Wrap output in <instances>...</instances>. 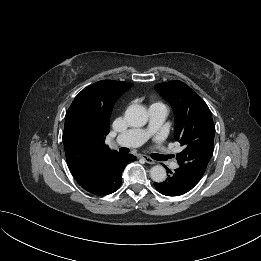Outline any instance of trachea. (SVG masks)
Listing matches in <instances>:
<instances>
[{"label": "trachea", "instance_id": "3493384b", "mask_svg": "<svg viewBox=\"0 0 261 261\" xmlns=\"http://www.w3.org/2000/svg\"><path fill=\"white\" fill-rule=\"evenodd\" d=\"M128 151H129V150H128L127 148H120V149H119V152H120V153H128Z\"/></svg>", "mask_w": 261, "mask_h": 261}]
</instances>
